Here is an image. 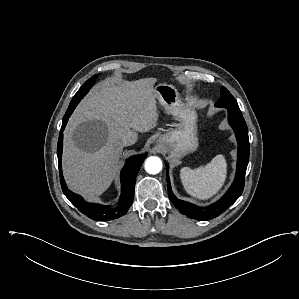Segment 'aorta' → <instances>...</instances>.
<instances>
[{
  "instance_id": "aorta-1",
  "label": "aorta",
  "mask_w": 299,
  "mask_h": 299,
  "mask_svg": "<svg viewBox=\"0 0 299 299\" xmlns=\"http://www.w3.org/2000/svg\"><path fill=\"white\" fill-rule=\"evenodd\" d=\"M162 161L159 157L151 156L145 162V170L149 174H157L162 170Z\"/></svg>"
}]
</instances>
